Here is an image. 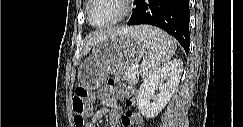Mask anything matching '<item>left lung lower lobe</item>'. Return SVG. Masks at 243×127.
Returning a JSON list of instances; mask_svg holds the SVG:
<instances>
[{
  "mask_svg": "<svg viewBox=\"0 0 243 127\" xmlns=\"http://www.w3.org/2000/svg\"><path fill=\"white\" fill-rule=\"evenodd\" d=\"M128 25L149 24L172 36L188 53L190 45L189 0H138Z\"/></svg>",
  "mask_w": 243,
  "mask_h": 127,
  "instance_id": "obj_1",
  "label": "left lung lower lobe"
}]
</instances>
